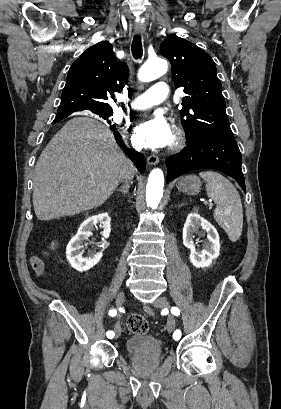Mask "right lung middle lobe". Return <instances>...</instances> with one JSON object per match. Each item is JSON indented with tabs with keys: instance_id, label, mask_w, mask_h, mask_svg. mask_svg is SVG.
<instances>
[{
	"instance_id": "1",
	"label": "right lung middle lobe",
	"mask_w": 281,
	"mask_h": 409,
	"mask_svg": "<svg viewBox=\"0 0 281 409\" xmlns=\"http://www.w3.org/2000/svg\"><path fill=\"white\" fill-rule=\"evenodd\" d=\"M97 115L102 117L103 119H108L110 116L113 115V111H101V112H96Z\"/></svg>"
}]
</instances>
